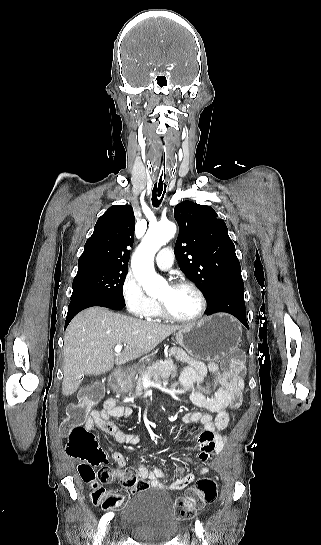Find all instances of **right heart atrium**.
<instances>
[{
  "label": "right heart atrium",
  "instance_id": "obj_1",
  "mask_svg": "<svg viewBox=\"0 0 321 545\" xmlns=\"http://www.w3.org/2000/svg\"><path fill=\"white\" fill-rule=\"evenodd\" d=\"M120 292L127 311L137 318L150 319L158 308L156 303L146 297L140 279L132 272L124 277Z\"/></svg>",
  "mask_w": 321,
  "mask_h": 545
}]
</instances>
